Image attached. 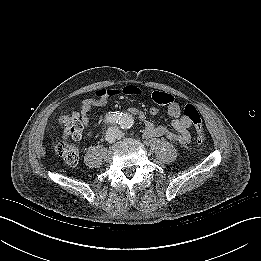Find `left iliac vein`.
Wrapping results in <instances>:
<instances>
[{
    "instance_id": "1",
    "label": "left iliac vein",
    "mask_w": 261,
    "mask_h": 261,
    "mask_svg": "<svg viewBox=\"0 0 261 261\" xmlns=\"http://www.w3.org/2000/svg\"><path fill=\"white\" fill-rule=\"evenodd\" d=\"M119 133V137H122L123 136V134L122 133H120V132H118Z\"/></svg>"
}]
</instances>
